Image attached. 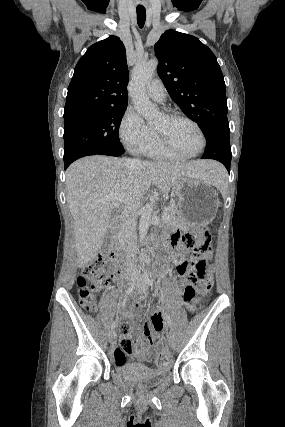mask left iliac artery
<instances>
[{
	"label": "left iliac artery",
	"instance_id": "1",
	"mask_svg": "<svg viewBox=\"0 0 285 427\" xmlns=\"http://www.w3.org/2000/svg\"><path fill=\"white\" fill-rule=\"evenodd\" d=\"M145 281H146V283H147L148 286L153 287V282H152V280L148 276L145 277ZM165 320L167 321L169 327L171 328L170 317H169V315L167 313H165Z\"/></svg>",
	"mask_w": 285,
	"mask_h": 427
}]
</instances>
